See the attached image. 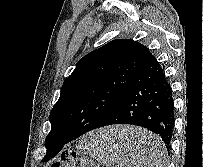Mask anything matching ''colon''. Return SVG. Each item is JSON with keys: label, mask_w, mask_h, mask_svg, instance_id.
<instances>
[{"label": "colon", "mask_w": 203, "mask_h": 167, "mask_svg": "<svg viewBox=\"0 0 203 167\" xmlns=\"http://www.w3.org/2000/svg\"><path fill=\"white\" fill-rule=\"evenodd\" d=\"M51 167H97L93 162L80 156L75 151H69L63 154L60 161L51 165Z\"/></svg>", "instance_id": "colon-1"}]
</instances>
